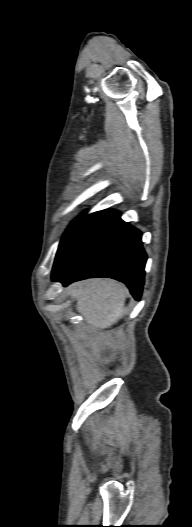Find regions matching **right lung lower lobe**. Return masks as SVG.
<instances>
[{
	"label": "right lung lower lobe",
	"mask_w": 192,
	"mask_h": 527,
	"mask_svg": "<svg viewBox=\"0 0 192 527\" xmlns=\"http://www.w3.org/2000/svg\"><path fill=\"white\" fill-rule=\"evenodd\" d=\"M141 232L103 210L83 216L64 234L54 262L52 281L64 286L91 277H110L125 283L139 300L147 255Z\"/></svg>",
	"instance_id": "obj_1"
}]
</instances>
